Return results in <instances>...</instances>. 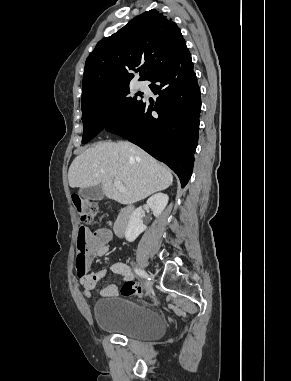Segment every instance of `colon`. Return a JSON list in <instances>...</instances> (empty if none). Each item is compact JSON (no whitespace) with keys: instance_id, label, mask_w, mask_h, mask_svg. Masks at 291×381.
<instances>
[{"instance_id":"obj_1","label":"colon","mask_w":291,"mask_h":381,"mask_svg":"<svg viewBox=\"0 0 291 381\" xmlns=\"http://www.w3.org/2000/svg\"><path fill=\"white\" fill-rule=\"evenodd\" d=\"M73 204L82 221L89 222L93 220L98 214L99 210L96 204L91 203L86 198L81 196L73 197ZM88 230L85 227H81L77 235V265L80 269H87V251H88ZM120 293L123 296L141 295V287L133 281H127L120 287Z\"/></svg>"}]
</instances>
